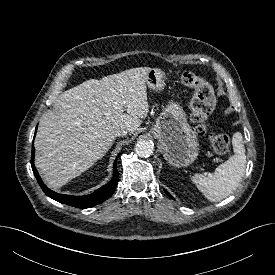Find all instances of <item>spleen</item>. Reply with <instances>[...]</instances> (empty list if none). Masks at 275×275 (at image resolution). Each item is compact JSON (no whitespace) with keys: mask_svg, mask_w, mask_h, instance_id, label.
<instances>
[{"mask_svg":"<svg viewBox=\"0 0 275 275\" xmlns=\"http://www.w3.org/2000/svg\"><path fill=\"white\" fill-rule=\"evenodd\" d=\"M232 144L234 155L220 164L211 178L202 174L192 176L193 183L211 202H219L232 194L244 176L246 155L240 132L233 134Z\"/></svg>","mask_w":275,"mask_h":275,"instance_id":"1","label":"spleen"}]
</instances>
